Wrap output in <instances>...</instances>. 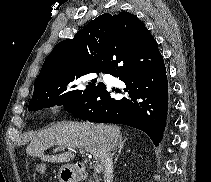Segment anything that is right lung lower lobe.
Returning <instances> with one entry per match:
<instances>
[{"mask_svg":"<svg viewBox=\"0 0 211 182\" xmlns=\"http://www.w3.org/2000/svg\"><path fill=\"white\" fill-rule=\"evenodd\" d=\"M101 72L123 81L127 95L111 98L105 84L99 83L94 93L71 111L72 115L92 122L135 127L158 146L166 124L168 81L156 40L150 34L117 48Z\"/></svg>","mask_w":211,"mask_h":182,"instance_id":"obj_1","label":"right lung lower lobe"}]
</instances>
